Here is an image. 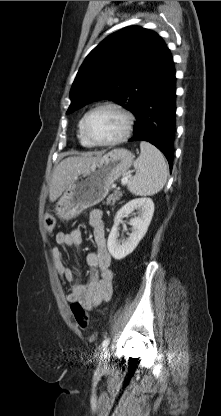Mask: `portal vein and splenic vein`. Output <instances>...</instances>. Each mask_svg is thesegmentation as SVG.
Here are the masks:
<instances>
[{
	"mask_svg": "<svg viewBox=\"0 0 221 416\" xmlns=\"http://www.w3.org/2000/svg\"><path fill=\"white\" fill-rule=\"evenodd\" d=\"M127 181H128V177H123L121 179V182H122L123 185H125L127 183Z\"/></svg>",
	"mask_w": 221,
	"mask_h": 416,
	"instance_id": "portal-vein-and-splenic-vein-1",
	"label": "portal vein and splenic vein"
}]
</instances>
